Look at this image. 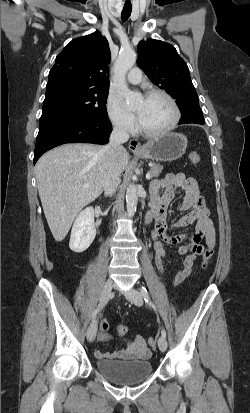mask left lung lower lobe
<instances>
[{
    "label": "left lung lower lobe",
    "instance_id": "1",
    "mask_svg": "<svg viewBox=\"0 0 250 413\" xmlns=\"http://www.w3.org/2000/svg\"><path fill=\"white\" fill-rule=\"evenodd\" d=\"M187 124V123H196V124H204L205 120L203 118V113H186L182 115L179 124Z\"/></svg>",
    "mask_w": 250,
    "mask_h": 413
}]
</instances>
